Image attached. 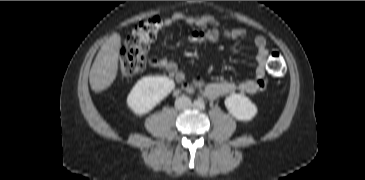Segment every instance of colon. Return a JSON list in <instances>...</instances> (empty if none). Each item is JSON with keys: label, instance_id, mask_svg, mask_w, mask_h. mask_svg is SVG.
Wrapping results in <instances>:
<instances>
[{"label": "colon", "instance_id": "5ec220e1", "mask_svg": "<svg viewBox=\"0 0 365 180\" xmlns=\"http://www.w3.org/2000/svg\"><path fill=\"white\" fill-rule=\"evenodd\" d=\"M161 28V20L153 17L139 23L131 31L119 52L118 67L122 75H136L144 69L149 42L156 38ZM267 68L273 76H281L285 72V62L280 52H271Z\"/></svg>", "mask_w": 365, "mask_h": 180}]
</instances>
